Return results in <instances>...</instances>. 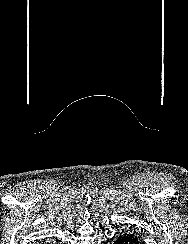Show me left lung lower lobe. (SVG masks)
<instances>
[{"label":"left lung lower lobe","instance_id":"left-lung-lower-lobe-1","mask_svg":"<svg viewBox=\"0 0 188 244\" xmlns=\"http://www.w3.org/2000/svg\"><path fill=\"white\" fill-rule=\"evenodd\" d=\"M141 242L134 233L126 231L116 239L114 244H140Z\"/></svg>","mask_w":188,"mask_h":244}]
</instances>
